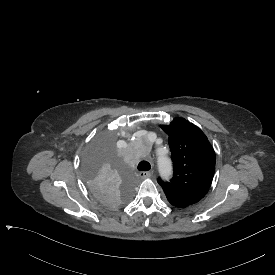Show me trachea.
Returning <instances> with one entry per match:
<instances>
[{
	"instance_id": "3493384b",
	"label": "trachea",
	"mask_w": 275,
	"mask_h": 275,
	"mask_svg": "<svg viewBox=\"0 0 275 275\" xmlns=\"http://www.w3.org/2000/svg\"><path fill=\"white\" fill-rule=\"evenodd\" d=\"M150 168H151V165L147 161H141L137 166V169L139 171H148V170H150Z\"/></svg>"
}]
</instances>
